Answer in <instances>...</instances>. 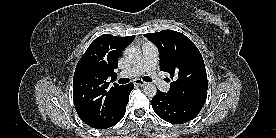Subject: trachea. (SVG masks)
<instances>
[{
    "mask_svg": "<svg viewBox=\"0 0 276 138\" xmlns=\"http://www.w3.org/2000/svg\"><path fill=\"white\" fill-rule=\"evenodd\" d=\"M142 79L146 82H151L152 81V79L148 76H144ZM129 81L130 80L128 78H120L118 82H119V84H126Z\"/></svg>",
    "mask_w": 276,
    "mask_h": 138,
    "instance_id": "3493384b",
    "label": "trachea"
}]
</instances>
